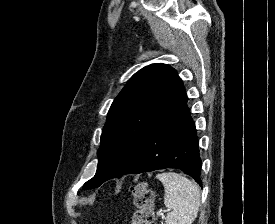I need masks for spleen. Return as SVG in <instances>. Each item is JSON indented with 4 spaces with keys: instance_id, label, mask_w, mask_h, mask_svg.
<instances>
[{
    "instance_id": "1",
    "label": "spleen",
    "mask_w": 275,
    "mask_h": 224,
    "mask_svg": "<svg viewBox=\"0 0 275 224\" xmlns=\"http://www.w3.org/2000/svg\"><path fill=\"white\" fill-rule=\"evenodd\" d=\"M164 186V204L168 212L166 224H192L200 207L199 187L189 179L174 172L156 175Z\"/></svg>"
}]
</instances>
